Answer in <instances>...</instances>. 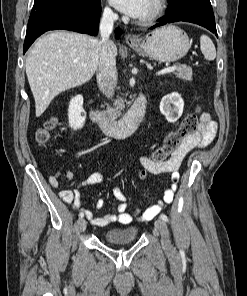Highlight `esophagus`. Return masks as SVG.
I'll use <instances>...</instances> for the list:
<instances>
[{
	"label": "esophagus",
	"mask_w": 247,
	"mask_h": 296,
	"mask_svg": "<svg viewBox=\"0 0 247 296\" xmlns=\"http://www.w3.org/2000/svg\"><path fill=\"white\" fill-rule=\"evenodd\" d=\"M125 40L127 44H134L137 43L139 40L136 36L132 35V34H126L125 36Z\"/></svg>",
	"instance_id": "34e87169"
}]
</instances>
